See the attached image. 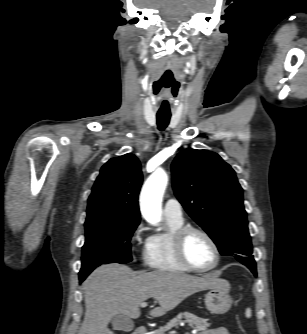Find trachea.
Wrapping results in <instances>:
<instances>
[{"mask_svg":"<svg viewBox=\"0 0 307 334\" xmlns=\"http://www.w3.org/2000/svg\"><path fill=\"white\" fill-rule=\"evenodd\" d=\"M170 117V115H157V125L160 131H163L168 126Z\"/></svg>","mask_w":307,"mask_h":334,"instance_id":"trachea-1","label":"trachea"}]
</instances>
